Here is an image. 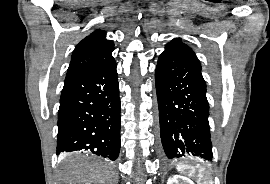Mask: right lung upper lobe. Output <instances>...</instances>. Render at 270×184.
I'll return each instance as SVG.
<instances>
[{
    "mask_svg": "<svg viewBox=\"0 0 270 184\" xmlns=\"http://www.w3.org/2000/svg\"><path fill=\"white\" fill-rule=\"evenodd\" d=\"M106 32L96 30L81 40L73 51L67 76L114 62V43L107 40Z\"/></svg>",
    "mask_w": 270,
    "mask_h": 184,
    "instance_id": "cb5924a9",
    "label": "right lung upper lobe"
}]
</instances>
